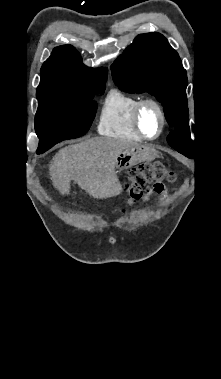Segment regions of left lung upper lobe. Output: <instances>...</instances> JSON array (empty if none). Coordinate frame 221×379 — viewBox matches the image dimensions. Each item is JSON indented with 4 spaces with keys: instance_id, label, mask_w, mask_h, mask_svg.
<instances>
[{
    "instance_id": "5c2ea615",
    "label": "left lung upper lobe",
    "mask_w": 221,
    "mask_h": 379,
    "mask_svg": "<svg viewBox=\"0 0 221 379\" xmlns=\"http://www.w3.org/2000/svg\"><path fill=\"white\" fill-rule=\"evenodd\" d=\"M115 84L129 93L156 97L164 108L168 124L174 128L167 142L186 157L193 158L194 143L190 136L187 73L178 53L157 32L138 35L112 67Z\"/></svg>"
}]
</instances>
